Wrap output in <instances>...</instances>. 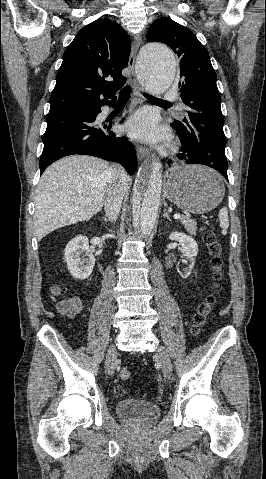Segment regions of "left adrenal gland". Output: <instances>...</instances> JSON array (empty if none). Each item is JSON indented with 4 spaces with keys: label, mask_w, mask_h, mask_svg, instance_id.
I'll use <instances>...</instances> for the list:
<instances>
[{
    "label": "left adrenal gland",
    "mask_w": 266,
    "mask_h": 479,
    "mask_svg": "<svg viewBox=\"0 0 266 479\" xmlns=\"http://www.w3.org/2000/svg\"><path fill=\"white\" fill-rule=\"evenodd\" d=\"M163 218H166V219H167L168 221H170V222L172 221V220L170 219L169 215H168V212H167L166 208L164 209Z\"/></svg>",
    "instance_id": "left-adrenal-gland-1"
}]
</instances>
